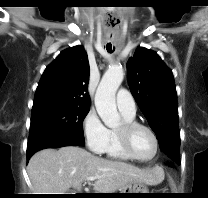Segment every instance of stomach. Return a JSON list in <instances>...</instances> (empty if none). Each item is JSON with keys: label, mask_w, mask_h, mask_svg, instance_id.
Instances as JSON below:
<instances>
[{"label": "stomach", "mask_w": 208, "mask_h": 198, "mask_svg": "<svg viewBox=\"0 0 208 198\" xmlns=\"http://www.w3.org/2000/svg\"><path fill=\"white\" fill-rule=\"evenodd\" d=\"M119 196L122 198H144L149 193L147 186L144 183L133 182L120 190Z\"/></svg>", "instance_id": "0dacf381"}]
</instances>
